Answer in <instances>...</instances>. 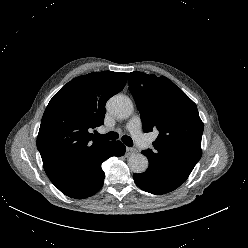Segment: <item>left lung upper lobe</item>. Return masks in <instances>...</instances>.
Segmentation results:
<instances>
[{"instance_id": "1", "label": "left lung upper lobe", "mask_w": 248, "mask_h": 248, "mask_svg": "<svg viewBox=\"0 0 248 248\" xmlns=\"http://www.w3.org/2000/svg\"><path fill=\"white\" fill-rule=\"evenodd\" d=\"M129 89L144 132L158 130L154 148L143 150L149 165L182 184L202 156L204 124L196 104L171 80L141 72L129 74Z\"/></svg>"}]
</instances>
